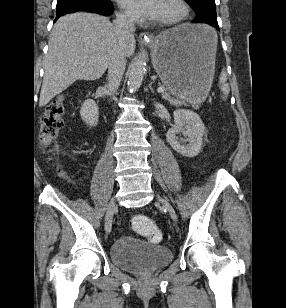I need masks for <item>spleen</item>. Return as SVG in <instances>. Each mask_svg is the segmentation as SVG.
I'll list each match as a JSON object with an SVG mask.
<instances>
[{"label":"spleen","mask_w":286,"mask_h":308,"mask_svg":"<svg viewBox=\"0 0 286 308\" xmlns=\"http://www.w3.org/2000/svg\"><path fill=\"white\" fill-rule=\"evenodd\" d=\"M219 85L223 93L222 98L225 100L229 94L230 88H229V84L227 83V74L224 71V69L222 70L220 77H219Z\"/></svg>","instance_id":"1"}]
</instances>
